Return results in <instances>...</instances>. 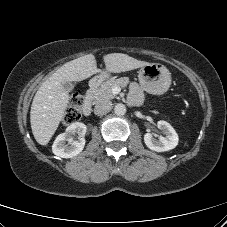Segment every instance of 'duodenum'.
I'll list each match as a JSON object with an SVG mask.
<instances>
[{"label":"duodenum","instance_id":"duodenum-1","mask_svg":"<svg viewBox=\"0 0 227 227\" xmlns=\"http://www.w3.org/2000/svg\"><path fill=\"white\" fill-rule=\"evenodd\" d=\"M105 79V76L103 74H100V75H97L96 77H94L91 82H90V85H89V94L88 96L86 97L84 103H83V107H82V110H83V114L85 116H89L91 115V112H92V100H91V96H90V93L97 87L99 86L103 80Z\"/></svg>","mask_w":227,"mask_h":227}]
</instances>
